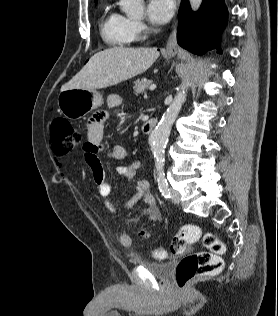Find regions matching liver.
<instances>
[{
  "label": "liver",
  "instance_id": "6515ba94",
  "mask_svg": "<svg viewBox=\"0 0 278 316\" xmlns=\"http://www.w3.org/2000/svg\"><path fill=\"white\" fill-rule=\"evenodd\" d=\"M159 57L157 48L115 47L94 54L61 91L95 90L116 85L145 72Z\"/></svg>",
  "mask_w": 278,
  "mask_h": 316
}]
</instances>
